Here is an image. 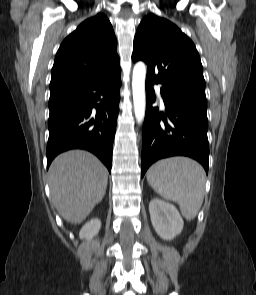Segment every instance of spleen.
Wrapping results in <instances>:
<instances>
[{"label":"spleen","mask_w":256,"mask_h":295,"mask_svg":"<svg viewBox=\"0 0 256 295\" xmlns=\"http://www.w3.org/2000/svg\"><path fill=\"white\" fill-rule=\"evenodd\" d=\"M205 180L202 166L186 157L160 160L147 172L149 185L163 198L177 202L188 220L194 219L201 208Z\"/></svg>","instance_id":"obj_1"}]
</instances>
